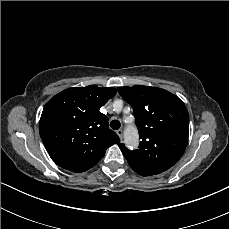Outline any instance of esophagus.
Wrapping results in <instances>:
<instances>
[{
	"instance_id": "34e87169",
	"label": "esophagus",
	"mask_w": 229,
	"mask_h": 229,
	"mask_svg": "<svg viewBox=\"0 0 229 229\" xmlns=\"http://www.w3.org/2000/svg\"><path fill=\"white\" fill-rule=\"evenodd\" d=\"M116 133H117V135L119 136V138L122 140V138H123V130H122V129H118V130L116 131Z\"/></svg>"
}]
</instances>
